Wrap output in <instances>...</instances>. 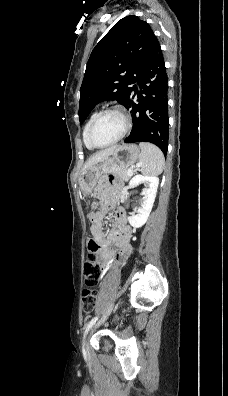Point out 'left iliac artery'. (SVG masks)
<instances>
[{
    "label": "left iliac artery",
    "mask_w": 228,
    "mask_h": 396,
    "mask_svg": "<svg viewBox=\"0 0 228 396\" xmlns=\"http://www.w3.org/2000/svg\"><path fill=\"white\" fill-rule=\"evenodd\" d=\"M97 320H98V316L92 318V319L87 323L86 328H85V332H84V338H85V335L87 334V332L89 331V329L95 324V322H96Z\"/></svg>",
    "instance_id": "1"
}]
</instances>
